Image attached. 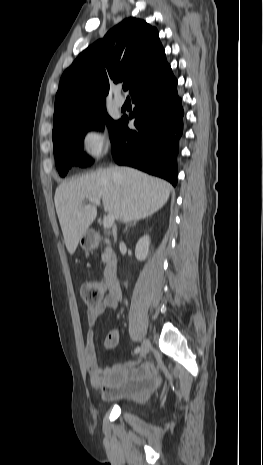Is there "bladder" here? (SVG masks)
I'll return each instance as SVG.
<instances>
[{"instance_id": "31cf9c89", "label": "bladder", "mask_w": 263, "mask_h": 465, "mask_svg": "<svg viewBox=\"0 0 263 465\" xmlns=\"http://www.w3.org/2000/svg\"><path fill=\"white\" fill-rule=\"evenodd\" d=\"M122 409L128 412L137 413L138 407L133 403L122 404Z\"/></svg>"}]
</instances>
